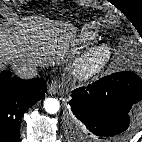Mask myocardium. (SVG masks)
I'll use <instances>...</instances> for the list:
<instances>
[{
  "mask_svg": "<svg viewBox=\"0 0 142 142\" xmlns=\"http://www.w3.org/2000/svg\"><path fill=\"white\" fill-rule=\"evenodd\" d=\"M112 54V49L108 45L90 49L73 63L71 72L79 80L93 79L106 69Z\"/></svg>",
  "mask_w": 142,
  "mask_h": 142,
  "instance_id": "myocardium-1",
  "label": "myocardium"
}]
</instances>
